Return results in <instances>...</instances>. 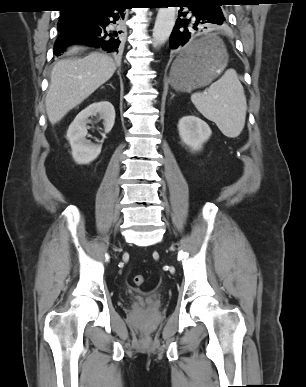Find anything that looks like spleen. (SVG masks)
Segmentation results:
<instances>
[{
	"instance_id": "3e777b00",
	"label": "spleen",
	"mask_w": 306,
	"mask_h": 387,
	"mask_svg": "<svg viewBox=\"0 0 306 387\" xmlns=\"http://www.w3.org/2000/svg\"><path fill=\"white\" fill-rule=\"evenodd\" d=\"M197 110L216 123L227 137H237L244 128L247 111L244 89L233 69L210 85L207 91L191 95Z\"/></svg>"
}]
</instances>
